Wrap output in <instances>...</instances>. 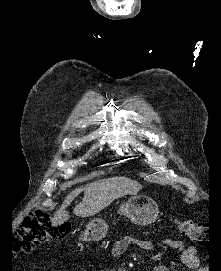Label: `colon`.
<instances>
[{
  "instance_id": "1",
  "label": "colon",
  "mask_w": 221,
  "mask_h": 271,
  "mask_svg": "<svg viewBox=\"0 0 221 271\" xmlns=\"http://www.w3.org/2000/svg\"><path fill=\"white\" fill-rule=\"evenodd\" d=\"M178 229L183 236L197 244L207 245L211 241L210 230L205 223L184 219ZM67 233L68 229L63 223L52 221L48 210L37 208L24 217L14 236L13 248L16 252L26 253L39 243L61 238Z\"/></svg>"
}]
</instances>
